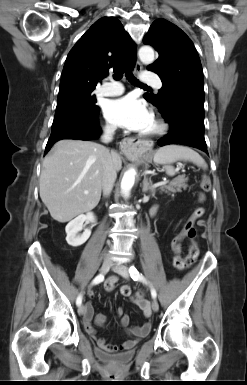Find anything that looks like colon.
I'll list each match as a JSON object with an SVG mask.
<instances>
[{
	"label": "colon",
	"instance_id": "colon-1",
	"mask_svg": "<svg viewBox=\"0 0 247 385\" xmlns=\"http://www.w3.org/2000/svg\"><path fill=\"white\" fill-rule=\"evenodd\" d=\"M200 188H201V194L199 195V202H204L205 201V193L209 192L211 189V180L210 178L204 174L201 179H200ZM204 213V208L203 207H198L195 210V215L196 216H202ZM184 235L186 236L187 239L191 241L190 247H189V253L185 258H181L179 255L175 259V265L178 268H184L187 266L193 265L197 257L199 255V248L195 242H193L195 236H196V231L193 226V224H187L184 229ZM181 242H182V237H177L173 240L172 247L174 251L179 254L181 251ZM131 292V289L128 286L123 287L122 293L124 295H127Z\"/></svg>",
	"mask_w": 247,
	"mask_h": 385
}]
</instances>
